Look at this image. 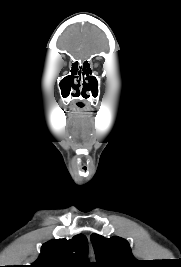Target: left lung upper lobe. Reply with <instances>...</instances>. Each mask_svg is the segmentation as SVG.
Listing matches in <instances>:
<instances>
[{"label":"left lung upper lobe","instance_id":"5c2ea615","mask_svg":"<svg viewBox=\"0 0 181 267\" xmlns=\"http://www.w3.org/2000/svg\"><path fill=\"white\" fill-rule=\"evenodd\" d=\"M96 262L93 267H140L143 262L134 258L128 242L118 236L105 238L91 235Z\"/></svg>","mask_w":181,"mask_h":267}]
</instances>
